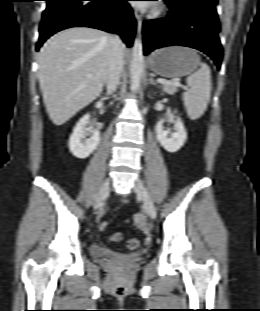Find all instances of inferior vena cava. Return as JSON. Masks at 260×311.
<instances>
[{
	"label": "inferior vena cava",
	"instance_id": "obj_1",
	"mask_svg": "<svg viewBox=\"0 0 260 311\" xmlns=\"http://www.w3.org/2000/svg\"><path fill=\"white\" fill-rule=\"evenodd\" d=\"M112 47L108 56V69L106 77L107 94H113L118 85L123 69L125 45L119 36H111Z\"/></svg>",
	"mask_w": 260,
	"mask_h": 311
}]
</instances>
